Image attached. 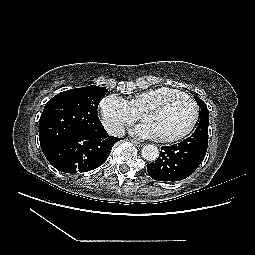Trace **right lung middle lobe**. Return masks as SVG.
Listing matches in <instances>:
<instances>
[{
    "mask_svg": "<svg viewBox=\"0 0 255 255\" xmlns=\"http://www.w3.org/2000/svg\"><path fill=\"white\" fill-rule=\"evenodd\" d=\"M107 91L95 85L74 88L46 103L39 120V140L44 155L73 132L104 131L97 108Z\"/></svg>",
    "mask_w": 255,
    "mask_h": 255,
    "instance_id": "dd1d6c3e",
    "label": "right lung middle lobe"
}]
</instances>
